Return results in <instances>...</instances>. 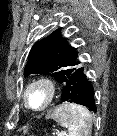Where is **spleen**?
Returning a JSON list of instances; mask_svg holds the SVG:
<instances>
[{
	"label": "spleen",
	"instance_id": "1",
	"mask_svg": "<svg viewBox=\"0 0 117 136\" xmlns=\"http://www.w3.org/2000/svg\"><path fill=\"white\" fill-rule=\"evenodd\" d=\"M49 118L67 128V136H88L92 127L89 111L73 103H64L55 108Z\"/></svg>",
	"mask_w": 117,
	"mask_h": 136
}]
</instances>
